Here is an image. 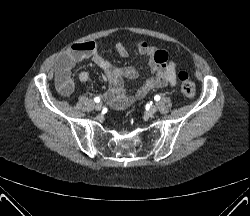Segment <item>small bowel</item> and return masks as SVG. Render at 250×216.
<instances>
[{
  "instance_id": "small-bowel-1",
  "label": "small bowel",
  "mask_w": 250,
  "mask_h": 216,
  "mask_svg": "<svg viewBox=\"0 0 250 216\" xmlns=\"http://www.w3.org/2000/svg\"><path fill=\"white\" fill-rule=\"evenodd\" d=\"M115 47L121 57L128 55V51L122 43H117ZM137 48L145 57L150 74L137 88L134 96L125 93L124 79H138V71L134 67H114L108 59L97 52L96 44L92 41L75 44L58 58L56 63V85L59 92L66 96L73 92L74 81L70 76V70L75 63L87 58H91L104 71L109 84L106 98L119 110L130 106L136 99L145 97L155 88L167 85L176 86V63L167 51L150 46L145 41H139ZM78 79L81 83H86L89 80V73L86 71L80 72Z\"/></svg>"
}]
</instances>
